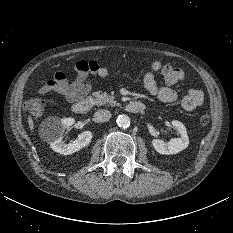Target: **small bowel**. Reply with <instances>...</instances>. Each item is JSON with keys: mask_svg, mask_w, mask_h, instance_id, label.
Here are the masks:
<instances>
[{"mask_svg": "<svg viewBox=\"0 0 233 233\" xmlns=\"http://www.w3.org/2000/svg\"><path fill=\"white\" fill-rule=\"evenodd\" d=\"M150 72L143 78L145 89L162 102H174L178 95L173 86L182 81L185 77L184 72L171 65H163L159 61H153L150 64ZM160 72L164 78L165 86H159L156 82L154 73ZM109 71L98 62L79 61L74 68V75L69 81L62 72H56L52 79L47 81L40 89V94L51 92L64 96L68 101L73 102L82 99L88 94L91 88V80L95 77L104 78L108 76ZM204 102V94L199 89H190L182 98V108L187 112H192L201 107Z\"/></svg>", "mask_w": 233, "mask_h": 233, "instance_id": "1", "label": "small bowel"}]
</instances>
